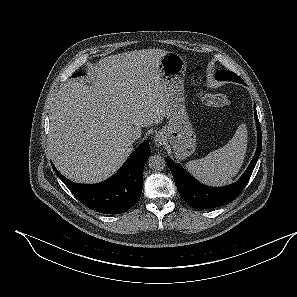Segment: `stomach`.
Returning <instances> with one entry per match:
<instances>
[{"label":"stomach","instance_id":"obj_1","mask_svg":"<svg viewBox=\"0 0 297 297\" xmlns=\"http://www.w3.org/2000/svg\"><path fill=\"white\" fill-rule=\"evenodd\" d=\"M186 67V60L176 52H167L159 63L161 85L167 105V124L160 133L172 146L178 160L191 156L196 149V135L185 105Z\"/></svg>","mask_w":297,"mask_h":297}]
</instances>
